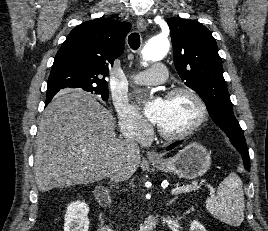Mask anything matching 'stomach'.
<instances>
[{"label": "stomach", "mask_w": 268, "mask_h": 231, "mask_svg": "<svg viewBox=\"0 0 268 231\" xmlns=\"http://www.w3.org/2000/svg\"><path fill=\"white\" fill-rule=\"evenodd\" d=\"M152 165L165 173L185 179H196L203 176L211 166V153L198 143H191L175 156L159 161H151Z\"/></svg>", "instance_id": "stomach-1"}]
</instances>
